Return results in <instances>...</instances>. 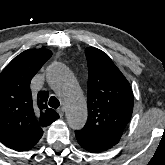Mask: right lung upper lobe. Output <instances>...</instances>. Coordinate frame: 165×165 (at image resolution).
Instances as JSON below:
<instances>
[{
  "instance_id": "cb5924a9",
  "label": "right lung upper lobe",
  "mask_w": 165,
  "mask_h": 165,
  "mask_svg": "<svg viewBox=\"0 0 165 165\" xmlns=\"http://www.w3.org/2000/svg\"><path fill=\"white\" fill-rule=\"evenodd\" d=\"M51 55L48 49L26 50L0 74V141L16 151L31 149L42 137V128L59 118L47 107V91H30L32 77Z\"/></svg>"
}]
</instances>
